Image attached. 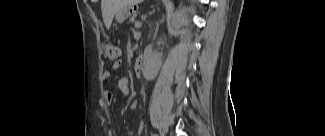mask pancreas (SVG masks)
I'll list each match as a JSON object with an SVG mask.
<instances>
[{
  "label": "pancreas",
  "instance_id": "cf45deb5",
  "mask_svg": "<svg viewBox=\"0 0 325 136\" xmlns=\"http://www.w3.org/2000/svg\"><path fill=\"white\" fill-rule=\"evenodd\" d=\"M138 13L141 15L143 12L140 10ZM133 16L136 18L138 15L135 13ZM134 17H129V18H128V21H127L128 24L131 25V24H134V23H135L136 20H135Z\"/></svg>",
  "mask_w": 325,
  "mask_h": 136
}]
</instances>
